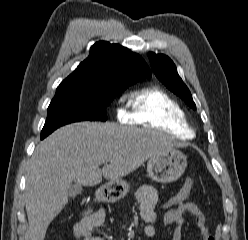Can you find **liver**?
I'll use <instances>...</instances> for the list:
<instances>
[{"label": "liver", "instance_id": "obj_1", "mask_svg": "<svg viewBox=\"0 0 248 240\" xmlns=\"http://www.w3.org/2000/svg\"><path fill=\"white\" fill-rule=\"evenodd\" d=\"M176 146L180 144L162 133L114 123L59 128L37 145L29 164L25 206L31 240H44L49 224L68 202L72 182L94 186L102 177L120 180Z\"/></svg>", "mask_w": 248, "mask_h": 240}]
</instances>
